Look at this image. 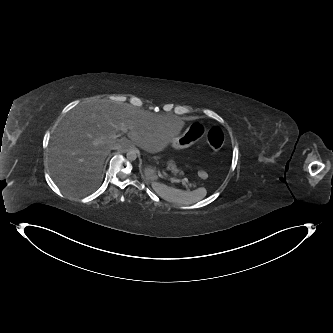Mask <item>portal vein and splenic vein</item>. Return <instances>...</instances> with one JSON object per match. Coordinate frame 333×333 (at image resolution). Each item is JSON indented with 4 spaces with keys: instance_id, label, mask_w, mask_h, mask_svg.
I'll return each mask as SVG.
<instances>
[{
    "instance_id": "1",
    "label": "portal vein and splenic vein",
    "mask_w": 333,
    "mask_h": 333,
    "mask_svg": "<svg viewBox=\"0 0 333 333\" xmlns=\"http://www.w3.org/2000/svg\"><path fill=\"white\" fill-rule=\"evenodd\" d=\"M129 128L126 125H121L118 129V132L116 134H113L111 137L112 138H118L122 136L123 134L127 133Z\"/></svg>"
}]
</instances>
